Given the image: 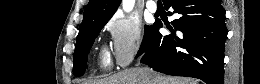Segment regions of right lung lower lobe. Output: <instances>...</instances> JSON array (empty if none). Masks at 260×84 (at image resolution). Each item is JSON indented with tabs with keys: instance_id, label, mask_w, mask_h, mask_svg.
Wrapping results in <instances>:
<instances>
[{
	"instance_id": "right-lung-lower-lobe-1",
	"label": "right lung lower lobe",
	"mask_w": 260,
	"mask_h": 84,
	"mask_svg": "<svg viewBox=\"0 0 260 84\" xmlns=\"http://www.w3.org/2000/svg\"><path fill=\"white\" fill-rule=\"evenodd\" d=\"M176 19L172 35L162 36L154 25L141 62L168 75L199 78L207 84L224 82L227 29L220 0H164ZM175 31H178L176 34Z\"/></svg>"
}]
</instances>
